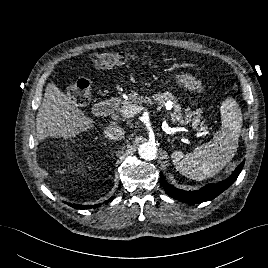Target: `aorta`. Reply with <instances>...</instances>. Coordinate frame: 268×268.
<instances>
[{
	"instance_id": "762f6f07",
	"label": "aorta",
	"mask_w": 268,
	"mask_h": 268,
	"mask_svg": "<svg viewBox=\"0 0 268 268\" xmlns=\"http://www.w3.org/2000/svg\"><path fill=\"white\" fill-rule=\"evenodd\" d=\"M138 153L142 159L151 161L157 156V147L152 142H145L140 145Z\"/></svg>"
}]
</instances>
